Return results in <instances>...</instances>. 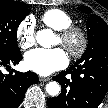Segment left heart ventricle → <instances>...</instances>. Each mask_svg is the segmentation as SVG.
I'll return each instance as SVG.
<instances>
[{
    "label": "left heart ventricle",
    "mask_w": 108,
    "mask_h": 108,
    "mask_svg": "<svg viewBox=\"0 0 108 108\" xmlns=\"http://www.w3.org/2000/svg\"><path fill=\"white\" fill-rule=\"evenodd\" d=\"M57 44H60V39H59V37L57 38Z\"/></svg>",
    "instance_id": "1"
}]
</instances>
